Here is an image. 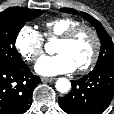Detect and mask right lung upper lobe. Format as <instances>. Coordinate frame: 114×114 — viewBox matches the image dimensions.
<instances>
[{
  "instance_id": "1",
  "label": "right lung upper lobe",
  "mask_w": 114,
  "mask_h": 114,
  "mask_svg": "<svg viewBox=\"0 0 114 114\" xmlns=\"http://www.w3.org/2000/svg\"><path fill=\"white\" fill-rule=\"evenodd\" d=\"M23 7H12V8H9V9H12V10H19V9H22Z\"/></svg>"
}]
</instances>
